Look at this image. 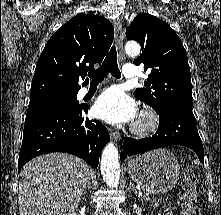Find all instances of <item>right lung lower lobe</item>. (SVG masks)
<instances>
[{"label": "right lung lower lobe", "instance_id": "1", "mask_svg": "<svg viewBox=\"0 0 221 215\" xmlns=\"http://www.w3.org/2000/svg\"><path fill=\"white\" fill-rule=\"evenodd\" d=\"M87 110L79 105L27 112L18 172L32 158L51 152L74 154L96 168L110 136L100 121L85 118Z\"/></svg>", "mask_w": 221, "mask_h": 215}]
</instances>
